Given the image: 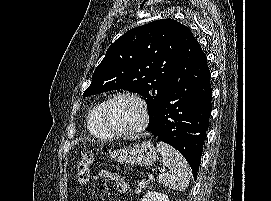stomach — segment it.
<instances>
[{
	"label": "stomach",
	"instance_id": "stomach-1",
	"mask_svg": "<svg viewBox=\"0 0 271 201\" xmlns=\"http://www.w3.org/2000/svg\"><path fill=\"white\" fill-rule=\"evenodd\" d=\"M109 156L123 164L151 166L157 161L158 152L151 142L143 141L140 144L109 151Z\"/></svg>",
	"mask_w": 271,
	"mask_h": 201
}]
</instances>
